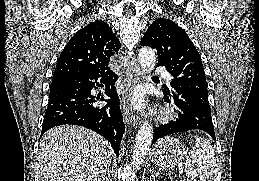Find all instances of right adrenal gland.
Segmentation results:
<instances>
[{
	"instance_id": "obj_1",
	"label": "right adrenal gland",
	"mask_w": 259,
	"mask_h": 181,
	"mask_svg": "<svg viewBox=\"0 0 259 181\" xmlns=\"http://www.w3.org/2000/svg\"><path fill=\"white\" fill-rule=\"evenodd\" d=\"M102 181H110V173L108 172Z\"/></svg>"
}]
</instances>
